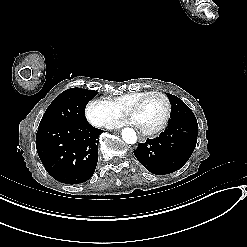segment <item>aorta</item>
Segmentation results:
<instances>
[{
    "label": "aorta",
    "instance_id": "762f6f07",
    "mask_svg": "<svg viewBox=\"0 0 247 247\" xmlns=\"http://www.w3.org/2000/svg\"><path fill=\"white\" fill-rule=\"evenodd\" d=\"M122 139L127 144H135L137 141L136 132L132 128H124L121 132Z\"/></svg>",
    "mask_w": 247,
    "mask_h": 247
}]
</instances>
